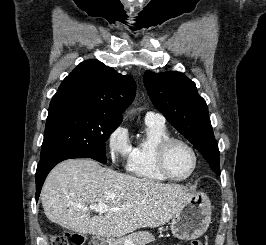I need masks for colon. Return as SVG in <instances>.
<instances>
[{"instance_id": "colon-1", "label": "colon", "mask_w": 266, "mask_h": 245, "mask_svg": "<svg viewBox=\"0 0 266 245\" xmlns=\"http://www.w3.org/2000/svg\"><path fill=\"white\" fill-rule=\"evenodd\" d=\"M51 245H69L70 242L73 245H82L83 244V236L79 233H64V235L53 234L50 238ZM191 245H201L198 240H193Z\"/></svg>"}]
</instances>
